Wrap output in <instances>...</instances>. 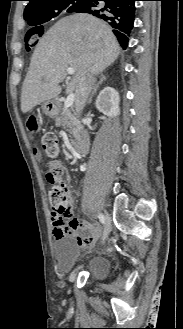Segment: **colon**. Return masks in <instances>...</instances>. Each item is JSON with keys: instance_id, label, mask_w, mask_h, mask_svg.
Wrapping results in <instances>:
<instances>
[{"instance_id": "5ec220e1", "label": "colon", "mask_w": 183, "mask_h": 329, "mask_svg": "<svg viewBox=\"0 0 183 329\" xmlns=\"http://www.w3.org/2000/svg\"><path fill=\"white\" fill-rule=\"evenodd\" d=\"M43 32H49V25H28V31H23L21 44L25 49H40ZM57 137L52 132L45 133L41 138L42 147L49 157L56 156L58 152ZM46 177L51 183L49 192L53 215L63 222L70 214L71 195L67 186L63 183V172L50 166Z\"/></svg>"}]
</instances>
